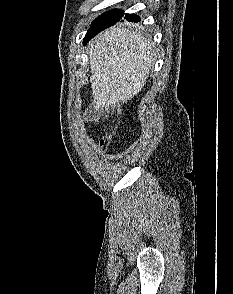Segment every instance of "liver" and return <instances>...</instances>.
I'll return each mask as SVG.
<instances>
[{"mask_svg":"<svg viewBox=\"0 0 233 294\" xmlns=\"http://www.w3.org/2000/svg\"><path fill=\"white\" fill-rule=\"evenodd\" d=\"M88 46L96 112L121 106L142 90L154 65L149 39L126 28L112 27Z\"/></svg>","mask_w":233,"mask_h":294,"instance_id":"obj_1","label":"liver"}]
</instances>
